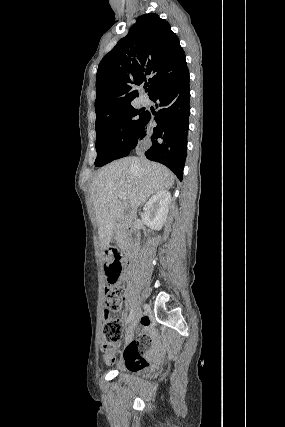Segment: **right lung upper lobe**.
Returning <instances> with one entry per match:
<instances>
[{
  "mask_svg": "<svg viewBox=\"0 0 285 427\" xmlns=\"http://www.w3.org/2000/svg\"><path fill=\"white\" fill-rule=\"evenodd\" d=\"M185 52L170 25L157 14L137 18L127 36L101 60L96 74V124L131 105L136 86L149 85V97L186 71ZM148 80V83H147Z\"/></svg>",
  "mask_w": 285,
  "mask_h": 427,
  "instance_id": "1",
  "label": "right lung upper lobe"
}]
</instances>
